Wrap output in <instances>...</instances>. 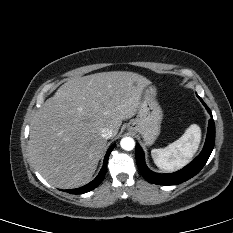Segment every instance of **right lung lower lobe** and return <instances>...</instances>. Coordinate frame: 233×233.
<instances>
[{
	"label": "right lung lower lobe",
	"mask_w": 233,
	"mask_h": 233,
	"mask_svg": "<svg viewBox=\"0 0 233 233\" xmlns=\"http://www.w3.org/2000/svg\"><path fill=\"white\" fill-rule=\"evenodd\" d=\"M113 148H114V145L108 150V152L105 156V159H104L103 167H102L99 175L92 182H90L89 184H87L83 187H80L77 189L66 190V191L70 194H83V193H86V192H89V191L95 189L104 179V176H105L106 170H107L108 157H109L111 151L113 150Z\"/></svg>",
	"instance_id": "98d812e1"
}]
</instances>
